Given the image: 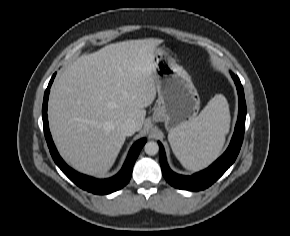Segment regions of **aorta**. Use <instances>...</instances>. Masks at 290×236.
I'll return each instance as SVG.
<instances>
[{
	"label": "aorta",
	"instance_id": "762f6f07",
	"mask_svg": "<svg viewBox=\"0 0 290 236\" xmlns=\"http://www.w3.org/2000/svg\"><path fill=\"white\" fill-rule=\"evenodd\" d=\"M144 151L146 154L153 156L156 155L159 151V146L156 142L154 141H149L145 144L144 146Z\"/></svg>",
	"mask_w": 290,
	"mask_h": 236
}]
</instances>
